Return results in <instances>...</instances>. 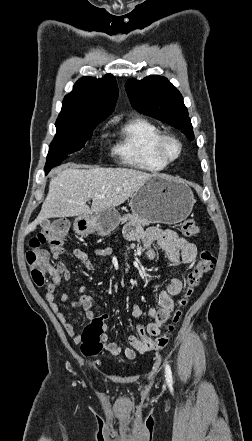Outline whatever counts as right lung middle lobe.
<instances>
[{
	"label": "right lung middle lobe",
	"mask_w": 252,
	"mask_h": 441,
	"mask_svg": "<svg viewBox=\"0 0 252 441\" xmlns=\"http://www.w3.org/2000/svg\"><path fill=\"white\" fill-rule=\"evenodd\" d=\"M101 121H90L69 117H58L56 121L57 133L53 139L45 165L46 174L58 166L70 154L84 147L92 137L93 130Z\"/></svg>",
	"instance_id": "right-lung-middle-lobe-1"
}]
</instances>
